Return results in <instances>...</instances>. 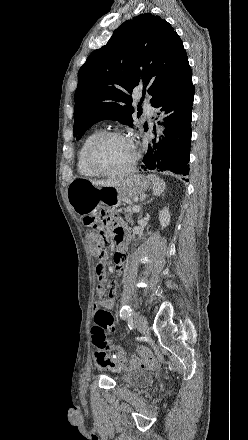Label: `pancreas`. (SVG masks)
I'll use <instances>...</instances> for the list:
<instances>
[{
	"label": "pancreas",
	"instance_id": "1",
	"mask_svg": "<svg viewBox=\"0 0 248 440\" xmlns=\"http://www.w3.org/2000/svg\"><path fill=\"white\" fill-rule=\"evenodd\" d=\"M125 212L127 213V214L125 215L126 220H127L129 223L133 224L134 221H133V211H132V209H131V208L126 209Z\"/></svg>",
	"mask_w": 248,
	"mask_h": 440
}]
</instances>
